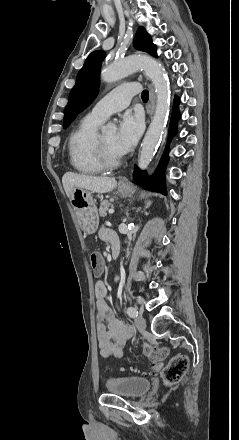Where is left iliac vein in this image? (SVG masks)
I'll list each match as a JSON object with an SVG mask.
<instances>
[{
	"instance_id": "obj_1",
	"label": "left iliac vein",
	"mask_w": 239,
	"mask_h": 440,
	"mask_svg": "<svg viewBox=\"0 0 239 440\" xmlns=\"http://www.w3.org/2000/svg\"><path fill=\"white\" fill-rule=\"evenodd\" d=\"M135 325L138 330L143 331L146 328V320L141 315H139L135 318Z\"/></svg>"
}]
</instances>
